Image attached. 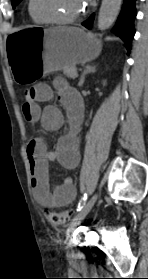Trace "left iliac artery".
Here are the masks:
<instances>
[{
    "mask_svg": "<svg viewBox=\"0 0 148 279\" xmlns=\"http://www.w3.org/2000/svg\"><path fill=\"white\" fill-rule=\"evenodd\" d=\"M86 200H87V194L85 193L83 195V197L79 201V204H78V207H77V211H81V209L84 207V205L86 203Z\"/></svg>",
    "mask_w": 148,
    "mask_h": 279,
    "instance_id": "left-iliac-artery-1",
    "label": "left iliac artery"
}]
</instances>
